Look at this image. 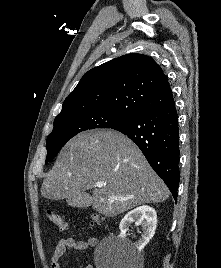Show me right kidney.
I'll use <instances>...</instances> for the list:
<instances>
[{"label":"right kidney","mask_w":221,"mask_h":268,"mask_svg":"<svg viewBox=\"0 0 221 268\" xmlns=\"http://www.w3.org/2000/svg\"><path fill=\"white\" fill-rule=\"evenodd\" d=\"M135 222L137 226L141 225L143 230V235L140 240L134 243V248L137 251H141L145 245L153 237L156 226H157V214L155 209L152 207L143 205L137 207L136 209L128 212L125 217L121 220L119 229V238L123 241H127V231L130 225Z\"/></svg>","instance_id":"obj_1"}]
</instances>
